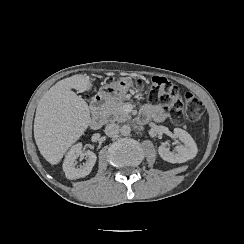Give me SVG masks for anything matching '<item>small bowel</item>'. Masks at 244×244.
I'll list each match as a JSON object with an SVG mask.
<instances>
[{"label":"small bowel","mask_w":244,"mask_h":244,"mask_svg":"<svg viewBox=\"0 0 244 244\" xmlns=\"http://www.w3.org/2000/svg\"><path fill=\"white\" fill-rule=\"evenodd\" d=\"M140 116L143 122L154 120L156 122H163L167 119V112L158 105L146 104L142 107Z\"/></svg>","instance_id":"1"}]
</instances>
